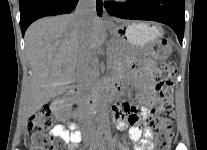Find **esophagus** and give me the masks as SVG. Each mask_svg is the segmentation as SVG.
<instances>
[{
    "mask_svg": "<svg viewBox=\"0 0 207 150\" xmlns=\"http://www.w3.org/2000/svg\"><path fill=\"white\" fill-rule=\"evenodd\" d=\"M103 22L112 23V17L105 8L103 9Z\"/></svg>",
    "mask_w": 207,
    "mask_h": 150,
    "instance_id": "obj_1",
    "label": "esophagus"
}]
</instances>
